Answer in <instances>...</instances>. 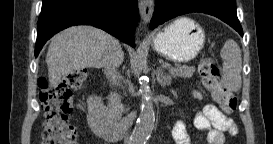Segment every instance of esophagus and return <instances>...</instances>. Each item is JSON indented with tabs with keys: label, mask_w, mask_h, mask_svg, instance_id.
<instances>
[{
	"label": "esophagus",
	"mask_w": 273,
	"mask_h": 144,
	"mask_svg": "<svg viewBox=\"0 0 273 144\" xmlns=\"http://www.w3.org/2000/svg\"><path fill=\"white\" fill-rule=\"evenodd\" d=\"M139 11L142 22L147 24L150 21L154 11V2L152 0H141L139 2Z\"/></svg>",
	"instance_id": "1"
}]
</instances>
